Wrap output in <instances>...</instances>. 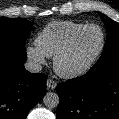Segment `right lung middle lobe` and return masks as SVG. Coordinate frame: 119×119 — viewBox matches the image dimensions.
I'll return each instance as SVG.
<instances>
[{
	"instance_id": "right-lung-middle-lobe-1",
	"label": "right lung middle lobe",
	"mask_w": 119,
	"mask_h": 119,
	"mask_svg": "<svg viewBox=\"0 0 119 119\" xmlns=\"http://www.w3.org/2000/svg\"><path fill=\"white\" fill-rule=\"evenodd\" d=\"M33 29L25 19L0 17V53L26 55L25 41Z\"/></svg>"
}]
</instances>
